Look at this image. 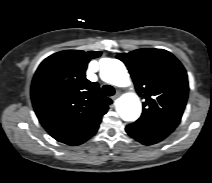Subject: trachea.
<instances>
[{
  "label": "trachea",
  "instance_id": "3493384b",
  "mask_svg": "<svg viewBox=\"0 0 212 183\" xmlns=\"http://www.w3.org/2000/svg\"><path fill=\"white\" fill-rule=\"evenodd\" d=\"M102 90L106 96H113L115 94V89L111 85H104Z\"/></svg>",
  "mask_w": 212,
  "mask_h": 183
}]
</instances>
